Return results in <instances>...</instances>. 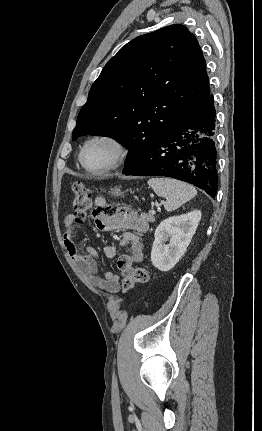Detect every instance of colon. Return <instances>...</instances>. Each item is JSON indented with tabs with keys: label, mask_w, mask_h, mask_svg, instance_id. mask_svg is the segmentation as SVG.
<instances>
[{
	"label": "colon",
	"mask_w": 262,
	"mask_h": 431,
	"mask_svg": "<svg viewBox=\"0 0 262 431\" xmlns=\"http://www.w3.org/2000/svg\"><path fill=\"white\" fill-rule=\"evenodd\" d=\"M72 200H71V216L73 217L74 223L81 224L86 218V214L91 207V195L88 189L82 183H75L72 188ZM116 211V207L113 205H107L103 212L105 214H113ZM150 281V272L146 268L138 267L135 269L131 276L125 277L122 282L123 290L127 291L132 289L136 285H144Z\"/></svg>",
	"instance_id": "colon-1"
}]
</instances>
